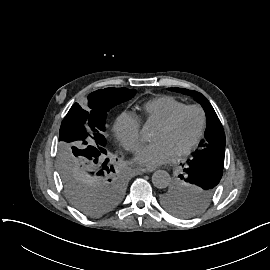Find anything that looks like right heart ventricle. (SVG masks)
<instances>
[{
  "mask_svg": "<svg viewBox=\"0 0 270 270\" xmlns=\"http://www.w3.org/2000/svg\"><path fill=\"white\" fill-rule=\"evenodd\" d=\"M186 104L170 96L156 97L143 105V114L136 117L140 122L147 123L156 120L159 123L169 119L177 111L184 108Z\"/></svg>",
  "mask_w": 270,
  "mask_h": 270,
  "instance_id": "e07e8e85",
  "label": "right heart ventricle"
}]
</instances>
